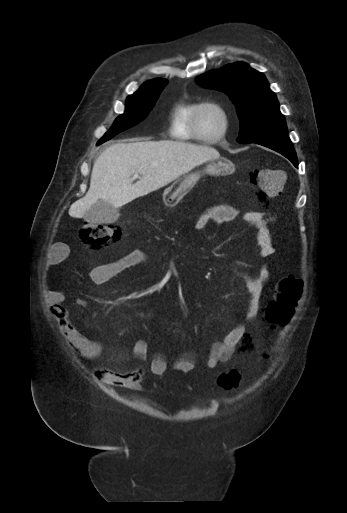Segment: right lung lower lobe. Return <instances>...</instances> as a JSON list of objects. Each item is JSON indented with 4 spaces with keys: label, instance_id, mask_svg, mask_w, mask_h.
Returning a JSON list of instances; mask_svg holds the SVG:
<instances>
[{
    "label": "right lung lower lobe",
    "instance_id": "98d812e1",
    "mask_svg": "<svg viewBox=\"0 0 347 513\" xmlns=\"http://www.w3.org/2000/svg\"><path fill=\"white\" fill-rule=\"evenodd\" d=\"M97 144H98V145H99V144H101V141H99Z\"/></svg>",
    "mask_w": 347,
    "mask_h": 513
}]
</instances>
